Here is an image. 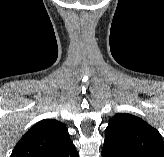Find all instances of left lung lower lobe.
I'll use <instances>...</instances> for the list:
<instances>
[{
    "instance_id": "1",
    "label": "left lung lower lobe",
    "mask_w": 164,
    "mask_h": 157,
    "mask_svg": "<svg viewBox=\"0 0 164 157\" xmlns=\"http://www.w3.org/2000/svg\"><path fill=\"white\" fill-rule=\"evenodd\" d=\"M102 157H129L123 153L120 149L116 148L114 145L107 141H104L102 148Z\"/></svg>"
}]
</instances>
